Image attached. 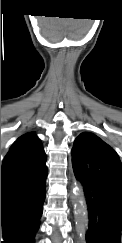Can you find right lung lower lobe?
Wrapping results in <instances>:
<instances>
[{
    "mask_svg": "<svg viewBox=\"0 0 122 243\" xmlns=\"http://www.w3.org/2000/svg\"><path fill=\"white\" fill-rule=\"evenodd\" d=\"M47 167L1 185V243H34L45 200Z\"/></svg>",
    "mask_w": 122,
    "mask_h": 243,
    "instance_id": "obj_1",
    "label": "right lung lower lobe"
}]
</instances>
